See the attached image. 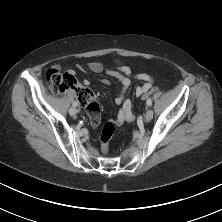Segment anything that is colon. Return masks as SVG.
Returning a JSON list of instances; mask_svg holds the SVG:
<instances>
[{"label":"colon","instance_id":"5ec220e1","mask_svg":"<svg viewBox=\"0 0 222 222\" xmlns=\"http://www.w3.org/2000/svg\"><path fill=\"white\" fill-rule=\"evenodd\" d=\"M46 79L48 88L53 93H61L68 89H75L77 92V97L81 104L84 105L88 113H98V102L96 96L88 89L78 86L75 77L67 72H61L57 68H50L46 73ZM158 90L157 86L146 91L142 96V100L146 101L147 98ZM115 131V126L113 123H106L101 131V145L102 151L106 153L108 151V144L112 138Z\"/></svg>","mask_w":222,"mask_h":222}]
</instances>
